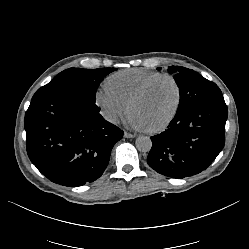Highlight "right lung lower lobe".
I'll return each mask as SVG.
<instances>
[{
  "instance_id": "1",
  "label": "right lung lower lobe",
  "mask_w": 249,
  "mask_h": 249,
  "mask_svg": "<svg viewBox=\"0 0 249 249\" xmlns=\"http://www.w3.org/2000/svg\"><path fill=\"white\" fill-rule=\"evenodd\" d=\"M95 103L74 95L37 98L25 114L26 148L49 180L76 187L99 178L123 131Z\"/></svg>"
}]
</instances>
